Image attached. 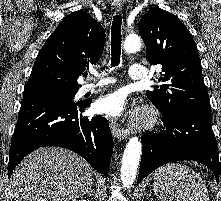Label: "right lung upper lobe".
I'll return each instance as SVG.
<instances>
[{
    "mask_svg": "<svg viewBox=\"0 0 221 201\" xmlns=\"http://www.w3.org/2000/svg\"><path fill=\"white\" fill-rule=\"evenodd\" d=\"M104 42V28L87 12L69 14L39 51L25 89H79L78 77L100 59Z\"/></svg>",
    "mask_w": 221,
    "mask_h": 201,
    "instance_id": "right-lung-upper-lobe-1",
    "label": "right lung upper lobe"
}]
</instances>
